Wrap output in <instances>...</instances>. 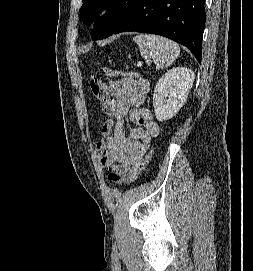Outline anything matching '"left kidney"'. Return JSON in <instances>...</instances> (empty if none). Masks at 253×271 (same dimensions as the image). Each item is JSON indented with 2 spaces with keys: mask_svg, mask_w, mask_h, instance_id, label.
Wrapping results in <instances>:
<instances>
[{
  "mask_svg": "<svg viewBox=\"0 0 253 271\" xmlns=\"http://www.w3.org/2000/svg\"><path fill=\"white\" fill-rule=\"evenodd\" d=\"M194 78L191 69L175 67L158 80L153 94L154 113L158 121L169 120L176 115L188 97Z\"/></svg>",
  "mask_w": 253,
  "mask_h": 271,
  "instance_id": "obj_1",
  "label": "left kidney"
}]
</instances>
